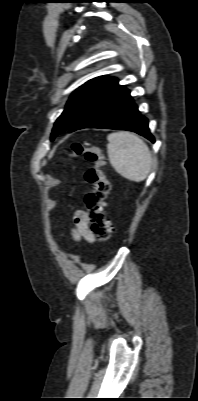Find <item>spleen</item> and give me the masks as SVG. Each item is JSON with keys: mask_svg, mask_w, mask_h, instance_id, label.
<instances>
[{"mask_svg": "<svg viewBox=\"0 0 198 401\" xmlns=\"http://www.w3.org/2000/svg\"><path fill=\"white\" fill-rule=\"evenodd\" d=\"M107 140L108 158L114 170L133 182L145 180L152 167V156L146 143L130 132L111 133Z\"/></svg>", "mask_w": 198, "mask_h": 401, "instance_id": "3e777b00", "label": "spleen"}]
</instances>
